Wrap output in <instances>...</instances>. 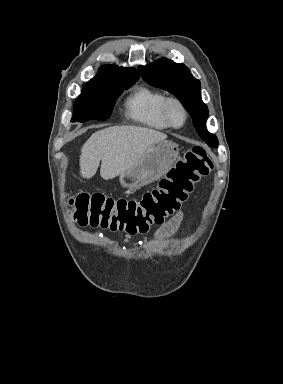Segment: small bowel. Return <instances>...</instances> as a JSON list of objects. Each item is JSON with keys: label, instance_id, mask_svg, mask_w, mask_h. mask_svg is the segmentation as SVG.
<instances>
[{"label": "small bowel", "instance_id": "1", "mask_svg": "<svg viewBox=\"0 0 283 384\" xmlns=\"http://www.w3.org/2000/svg\"><path fill=\"white\" fill-rule=\"evenodd\" d=\"M183 221V213L177 212L173 217H171L167 222H165L160 228L154 232V237L156 238H166L174 235L179 229ZM130 240V235L125 237V243Z\"/></svg>", "mask_w": 283, "mask_h": 384}]
</instances>
